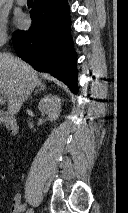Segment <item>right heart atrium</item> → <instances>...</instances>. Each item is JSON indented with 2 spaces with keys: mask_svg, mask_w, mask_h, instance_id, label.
Wrapping results in <instances>:
<instances>
[{
  "mask_svg": "<svg viewBox=\"0 0 128 213\" xmlns=\"http://www.w3.org/2000/svg\"><path fill=\"white\" fill-rule=\"evenodd\" d=\"M8 39V18L7 15L0 10V45L4 44Z\"/></svg>",
  "mask_w": 128,
  "mask_h": 213,
  "instance_id": "d8ad5b80",
  "label": "right heart atrium"
}]
</instances>
